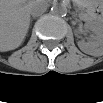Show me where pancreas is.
I'll return each mask as SVG.
<instances>
[{
	"label": "pancreas",
	"mask_w": 103,
	"mask_h": 103,
	"mask_svg": "<svg viewBox=\"0 0 103 103\" xmlns=\"http://www.w3.org/2000/svg\"><path fill=\"white\" fill-rule=\"evenodd\" d=\"M77 13H78V16H79L80 19H82V20H84V21H89V20H90V18L88 17V15L85 14V13L83 12V10L77 9Z\"/></svg>",
	"instance_id": "obj_1"
}]
</instances>
